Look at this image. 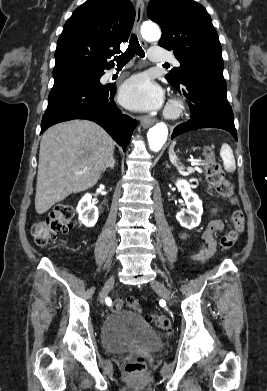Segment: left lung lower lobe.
Returning a JSON list of instances; mask_svg holds the SVG:
<instances>
[{
    "mask_svg": "<svg viewBox=\"0 0 267 391\" xmlns=\"http://www.w3.org/2000/svg\"><path fill=\"white\" fill-rule=\"evenodd\" d=\"M174 87L189 100L191 117L189 121L174 129L171 139L189 130L211 127L230 132L237 141L234 116L227 101L224 78L194 75Z\"/></svg>",
    "mask_w": 267,
    "mask_h": 391,
    "instance_id": "1",
    "label": "left lung lower lobe"
}]
</instances>
